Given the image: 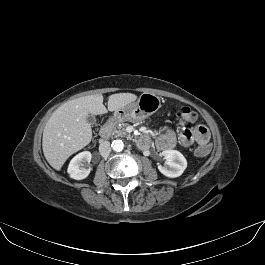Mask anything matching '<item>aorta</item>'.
<instances>
[{
    "label": "aorta",
    "mask_w": 265,
    "mask_h": 265,
    "mask_svg": "<svg viewBox=\"0 0 265 265\" xmlns=\"http://www.w3.org/2000/svg\"><path fill=\"white\" fill-rule=\"evenodd\" d=\"M111 146L112 149L116 152H121L124 149V143L122 140H114Z\"/></svg>",
    "instance_id": "1"
}]
</instances>
